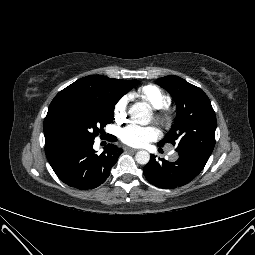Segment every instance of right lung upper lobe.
Instances as JSON below:
<instances>
[{"instance_id": "1", "label": "right lung upper lobe", "mask_w": 255, "mask_h": 255, "mask_svg": "<svg viewBox=\"0 0 255 255\" xmlns=\"http://www.w3.org/2000/svg\"><path fill=\"white\" fill-rule=\"evenodd\" d=\"M123 83L124 80L89 75L60 91L52 100L44 120L45 145L65 139L60 132L59 123L70 104L88 97L111 96L122 87Z\"/></svg>"}]
</instances>
